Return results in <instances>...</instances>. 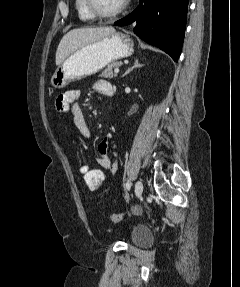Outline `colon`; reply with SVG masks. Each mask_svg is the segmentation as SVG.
<instances>
[{"label":"colon","mask_w":240,"mask_h":287,"mask_svg":"<svg viewBox=\"0 0 240 287\" xmlns=\"http://www.w3.org/2000/svg\"><path fill=\"white\" fill-rule=\"evenodd\" d=\"M79 173L83 177L89 189L95 191L101 188L104 181V173L102 172V170L94 168L90 164L80 161ZM109 219L115 223H118L122 220V214H110Z\"/></svg>","instance_id":"5ec220e1"}]
</instances>
